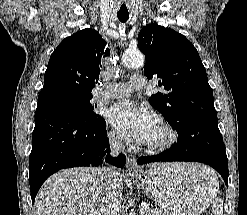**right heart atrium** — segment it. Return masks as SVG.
<instances>
[{"label":"right heart atrium","instance_id":"d8ad5b80","mask_svg":"<svg viewBox=\"0 0 247 215\" xmlns=\"http://www.w3.org/2000/svg\"><path fill=\"white\" fill-rule=\"evenodd\" d=\"M108 139L110 144L115 148H121L123 145L121 137L114 131L108 133Z\"/></svg>","mask_w":247,"mask_h":215}]
</instances>
